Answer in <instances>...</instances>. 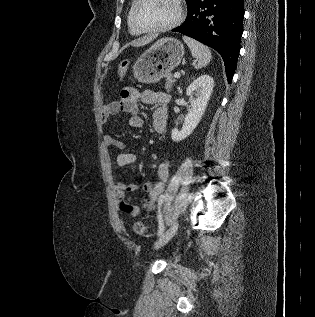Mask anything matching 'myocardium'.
<instances>
[{
	"instance_id": "myocardium-1",
	"label": "myocardium",
	"mask_w": 315,
	"mask_h": 317,
	"mask_svg": "<svg viewBox=\"0 0 315 317\" xmlns=\"http://www.w3.org/2000/svg\"><path fill=\"white\" fill-rule=\"evenodd\" d=\"M142 1L143 0H135L131 9V24L140 33H156L168 31L178 26L184 19V7L182 0H174L177 8V13L175 18L171 22L159 27L142 28L138 25L136 21V10Z\"/></svg>"
}]
</instances>
